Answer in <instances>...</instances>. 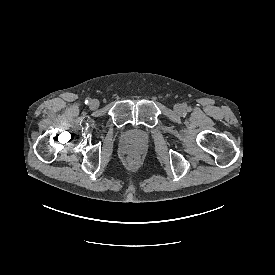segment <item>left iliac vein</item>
I'll return each instance as SVG.
<instances>
[{
	"instance_id": "4c4485c4",
	"label": "left iliac vein",
	"mask_w": 275,
	"mask_h": 275,
	"mask_svg": "<svg viewBox=\"0 0 275 275\" xmlns=\"http://www.w3.org/2000/svg\"><path fill=\"white\" fill-rule=\"evenodd\" d=\"M174 111L177 113H182L184 111L183 106L179 103L174 105Z\"/></svg>"
}]
</instances>
